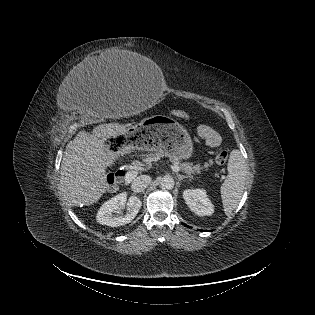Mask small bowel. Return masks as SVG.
Here are the masks:
<instances>
[{
  "label": "small bowel",
  "instance_id": "c3829d8e",
  "mask_svg": "<svg viewBox=\"0 0 315 315\" xmlns=\"http://www.w3.org/2000/svg\"><path fill=\"white\" fill-rule=\"evenodd\" d=\"M198 134L209 147H218L221 143L219 134L209 126H199Z\"/></svg>",
  "mask_w": 315,
  "mask_h": 315
}]
</instances>
